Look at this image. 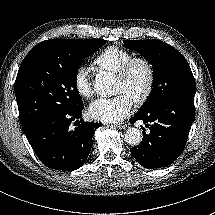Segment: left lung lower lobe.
<instances>
[{"instance_id": "1", "label": "left lung lower lobe", "mask_w": 215, "mask_h": 215, "mask_svg": "<svg viewBox=\"0 0 215 215\" xmlns=\"http://www.w3.org/2000/svg\"><path fill=\"white\" fill-rule=\"evenodd\" d=\"M194 93L166 99L130 118L131 123L142 120L150 129L148 135L143 133L142 142L130 149L140 165L148 169L165 167L182 154L195 114Z\"/></svg>"}]
</instances>
